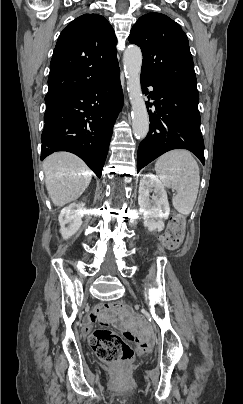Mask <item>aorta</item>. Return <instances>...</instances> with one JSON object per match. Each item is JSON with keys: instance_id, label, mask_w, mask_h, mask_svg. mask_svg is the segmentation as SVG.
<instances>
[{"instance_id": "1", "label": "aorta", "mask_w": 243, "mask_h": 404, "mask_svg": "<svg viewBox=\"0 0 243 404\" xmlns=\"http://www.w3.org/2000/svg\"><path fill=\"white\" fill-rule=\"evenodd\" d=\"M127 92L132 106V130L137 140H144L149 132V116L142 98L140 72L142 52L138 46H128L124 52Z\"/></svg>"}]
</instances>
